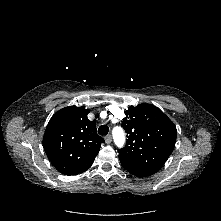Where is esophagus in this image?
Listing matches in <instances>:
<instances>
[{
  "label": "esophagus",
  "mask_w": 221,
  "mask_h": 221,
  "mask_svg": "<svg viewBox=\"0 0 221 221\" xmlns=\"http://www.w3.org/2000/svg\"><path fill=\"white\" fill-rule=\"evenodd\" d=\"M105 142H106V144H110L112 142V136L111 135H107L105 137Z\"/></svg>",
  "instance_id": "1"
}]
</instances>
